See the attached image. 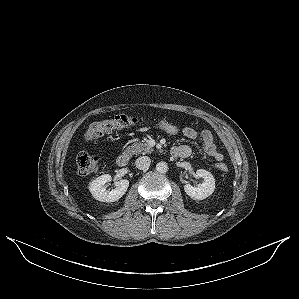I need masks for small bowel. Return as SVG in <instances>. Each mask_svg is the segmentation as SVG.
Listing matches in <instances>:
<instances>
[{"mask_svg":"<svg viewBox=\"0 0 299 299\" xmlns=\"http://www.w3.org/2000/svg\"><path fill=\"white\" fill-rule=\"evenodd\" d=\"M183 135L191 140L200 138L203 143L204 151L207 155L215 159L217 162H221L224 158L223 154L217 149L213 135L209 130H203L200 133L193 127L187 126L183 128ZM181 149L187 153L185 157L191 154V148L187 145H181L173 148V150ZM172 150V151H173Z\"/></svg>","mask_w":299,"mask_h":299,"instance_id":"1","label":"small bowel"}]
</instances>
